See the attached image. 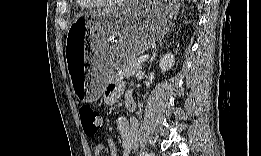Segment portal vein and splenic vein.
Masks as SVG:
<instances>
[{
    "label": "portal vein and splenic vein",
    "mask_w": 261,
    "mask_h": 156,
    "mask_svg": "<svg viewBox=\"0 0 261 156\" xmlns=\"http://www.w3.org/2000/svg\"><path fill=\"white\" fill-rule=\"evenodd\" d=\"M148 58H149V55H143V56H140L139 58H137V61L142 63V62L147 61Z\"/></svg>",
    "instance_id": "portal-vein-and-splenic-vein-1"
}]
</instances>
